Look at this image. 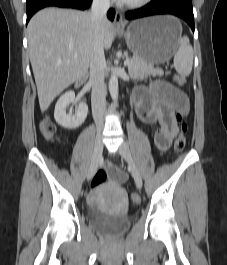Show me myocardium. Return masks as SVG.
<instances>
[{
    "instance_id": "1",
    "label": "myocardium",
    "mask_w": 227,
    "mask_h": 265,
    "mask_svg": "<svg viewBox=\"0 0 227 265\" xmlns=\"http://www.w3.org/2000/svg\"><path fill=\"white\" fill-rule=\"evenodd\" d=\"M151 0H137L133 2H121L122 6L129 9H138L147 5Z\"/></svg>"
}]
</instances>
